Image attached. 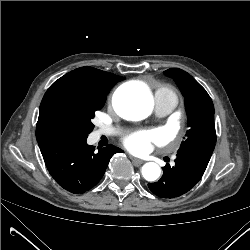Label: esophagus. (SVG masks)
Returning a JSON list of instances; mask_svg holds the SVG:
<instances>
[{"instance_id":"34e87169","label":"esophagus","mask_w":250,"mask_h":250,"mask_svg":"<svg viewBox=\"0 0 250 250\" xmlns=\"http://www.w3.org/2000/svg\"><path fill=\"white\" fill-rule=\"evenodd\" d=\"M131 160L133 161V163L137 164V165H140V164H143L144 161L141 160V159H138L136 157H133V156H130Z\"/></svg>"}]
</instances>
